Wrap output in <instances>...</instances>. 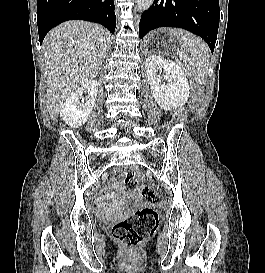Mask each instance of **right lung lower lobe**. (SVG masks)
I'll return each mask as SVG.
<instances>
[{"label": "right lung lower lobe", "mask_w": 265, "mask_h": 273, "mask_svg": "<svg viewBox=\"0 0 265 273\" xmlns=\"http://www.w3.org/2000/svg\"><path fill=\"white\" fill-rule=\"evenodd\" d=\"M113 0H38L37 23L40 44L48 31L67 20H86L105 26L111 33L116 27Z\"/></svg>", "instance_id": "1"}]
</instances>
